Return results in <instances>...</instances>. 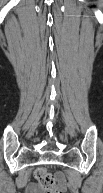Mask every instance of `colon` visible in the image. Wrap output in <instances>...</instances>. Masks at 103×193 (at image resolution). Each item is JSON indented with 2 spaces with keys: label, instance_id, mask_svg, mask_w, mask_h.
Returning <instances> with one entry per match:
<instances>
[{
  "label": "colon",
  "instance_id": "1",
  "mask_svg": "<svg viewBox=\"0 0 103 193\" xmlns=\"http://www.w3.org/2000/svg\"><path fill=\"white\" fill-rule=\"evenodd\" d=\"M35 176L43 188L50 190V193L55 191L56 178L48 170L40 167L36 170Z\"/></svg>",
  "mask_w": 103,
  "mask_h": 193
}]
</instances>
